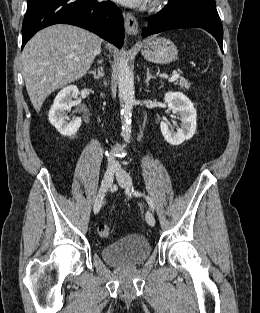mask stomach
<instances>
[{
    "label": "stomach",
    "mask_w": 260,
    "mask_h": 313,
    "mask_svg": "<svg viewBox=\"0 0 260 313\" xmlns=\"http://www.w3.org/2000/svg\"><path fill=\"white\" fill-rule=\"evenodd\" d=\"M145 59L158 64H169L178 58L176 45L165 37H150L141 44Z\"/></svg>",
    "instance_id": "stomach-1"
}]
</instances>
